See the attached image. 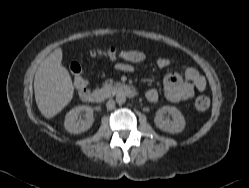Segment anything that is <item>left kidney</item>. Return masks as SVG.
<instances>
[{"label": "left kidney", "instance_id": "obj_1", "mask_svg": "<svg viewBox=\"0 0 249 188\" xmlns=\"http://www.w3.org/2000/svg\"><path fill=\"white\" fill-rule=\"evenodd\" d=\"M169 113L172 116V120H164V115ZM156 127L160 130L168 133H180L185 128V119L182 113L173 106H164L160 108L154 118Z\"/></svg>", "mask_w": 249, "mask_h": 188}]
</instances>
